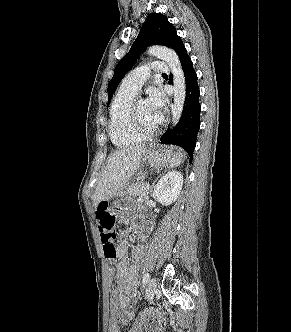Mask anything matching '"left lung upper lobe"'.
Listing matches in <instances>:
<instances>
[{"mask_svg": "<svg viewBox=\"0 0 291 332\" xmlns=\"http://www.w3.org/2000/svg\"><path fill=\"white\" fill-rule=\"evenodd\" d=\"M150 45L170 47L176 51L178 56L184 48L181 38L176 33V28L168 22L166 16L160 13L149 14L131 49L115 67L113 78L108 84V104L120 81L133 67L140 53Z\"/></svg>", "mask_w": 291, "mask_h": 332, "instance_id": "left-lung-upper-lobe-1", "label": "left lung upper lobe"}]
</instances>
